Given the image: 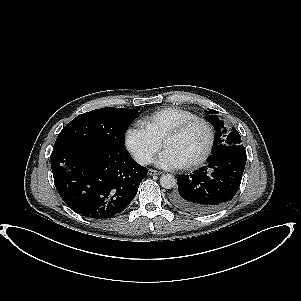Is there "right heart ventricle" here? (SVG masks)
Here are the masks:
<instances>
[{
	"instance_id": "1",
	"label": "right heart ventricle",
	"mask_w": 301,
	"mask_h": 301,
	"mask_svg": "<svg viewBox=\"0 0 301 301\" xmlns=\"http://www.w3.org/2000/svg\"><path fill=\"white\" fill-rule=\"evenodd\" d=\"M196 117L192 112L181 108H164L143 121L145 129L158 141L176 125Z\"/></svg>"
}]
</instances>
